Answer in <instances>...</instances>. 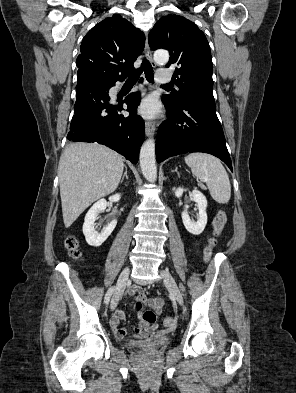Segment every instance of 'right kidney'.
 <instances>
[{"label":"right kidney","instance_id":"right-kidney-1","mask_svg":"<svg viewBox=\"0 0 296 393\" xmlns=\"http://www.w3.org/2000/svg\"><path fill=\"white\" fill-rule=\"evenodd\" d=\"M120 198V194H115L109 197V201L118 202ZM106 206L107 201L105 199H100L89 209L85 216L83 234L85 236L86 242L90 246L99 247L102 245L117 225V220L114 219L100 233L95 230L94 222L97 219L98 214L106 209Z\"/></svg>","mask_w":296,"mask_h":393}]
</instances>
